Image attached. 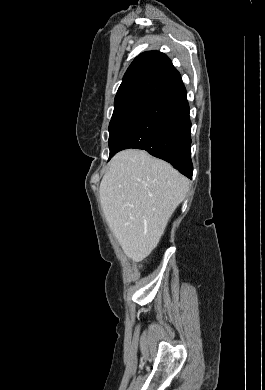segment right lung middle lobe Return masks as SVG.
I'll use <instances>...</instances> for the list:
<instances>
[{
    "label": "right lung middle lobe",
    "mask_w": 265,
    "mask_h": 390,
    "mask_svg": "<svg viewBox=\"0 0 265 390\" xmlns=\"http://www.w3.org/2000/svg\"><path fill=\"white\" fill-rule=\"evenodd\" d=\"M154 100L139 96L114 103V111L109 124V159L115 154L116 144L125 129Z\"/></svg>",
    "instance_id": "right-lung-middle-lobe-1"
}]
</instances>
